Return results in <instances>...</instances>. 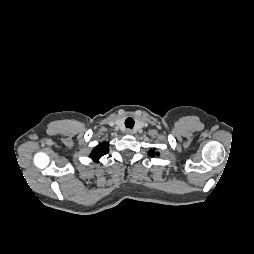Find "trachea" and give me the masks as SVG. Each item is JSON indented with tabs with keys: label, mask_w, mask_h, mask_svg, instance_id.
Wrapping results in <instances>:
<instances>
[{
	"label": "trachea",
	"mask_w": 254,
	"mask_h": 254,
	"mask_svg": "<svg viewBox=\"0 0 254 254\" xmlns=\"http://www.w3.org/2000/svg\"><path fill=\"white\" fill-rule=\"evenodd\" d=\"M134 124H135V122H134V119H133L132 117H128V118L125 120V126H126L127 128L132 129V128L134 127Z\"/></svg>",
	"instance_id": "trachea-1"
}]
</instances>
